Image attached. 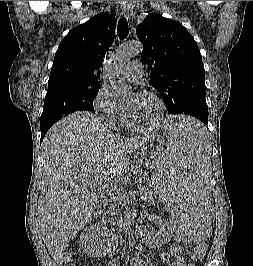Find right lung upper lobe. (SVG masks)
Wrapping results in <instances>:
<instances>
[{"label": "right lung upper lobe", "mask_w": 253, "mask_h": 266, "mask_svg": "<svg viewBox=\"0 0 253 266\" xmlns=\"http://www.w3.org/2000/svg\"><path fill=\"white\" fill-rule=\"evenodd\" d=\"M115 28L113 15L99 13L72 29L56 51L47 92L100 86V68L114 41Z\"/></svg>", "instance_id": "cb5924a9"}]
</instances>
